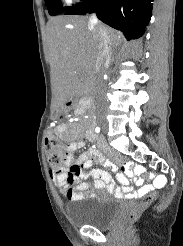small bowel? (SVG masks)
<instances>
[{
    "mask_svg": "<svg viewBox=\"0 0 183 246\" xmlns=\"http://www.w3.org/2000/svg\"><path fill=\"white\" fill-rule=\"evenodd\" d=\"M59 130L68 139L76 138L79 134L78 132H69L64 126L60 127ZM89 133L93 132L88 131L87 135ZM84 146L85 143L83 140L69 143L66 149L67 160L65 166L59 170L54 168H50L49 170L54 186L69 201H81L91 196V183L80 181L88 178L94 179L96 187L106 188L110 193H115V195L119 197H142L154 191L157 188V185H166V180H161L165 179V174H142L144 173L143 167H132L129 164H124L121 166L122 172L117 174V180L122 185V188H116L108 171L95 168L90 172H85V170L91 168L93 163L103 164L106 168H110L112 170L117 169L115 164L105 160L99 149L94 147L89 148L85 150L77 160L73 159V154ZM70 171L75 172L70 173ZM140 174H142V179H152L154 180V183L143 185L141 179H136L135 182L139 188L137 191L133 192L129 179H135L136 175Z\"/></svg>",
    "mask_w": 183,
    "mask_h": 246,
    "instance_id": "c3829d8e",
    "label": "small bowel"
}]
</instances>
